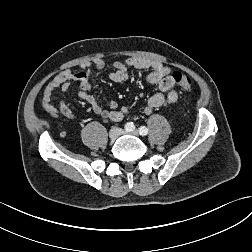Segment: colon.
I'll return each mask as SVG.
<instances>
[{
  "label": "colon",
  "mask_w": 252,
  "mask_h": 252,
  "mask_svg": "<svg viewBox=\"0 0 252 252\" xmlns=\"http://www.w3.org/2000/svg\"><path fill=\"white\" fill-rule=\"evenodd\" d=\"M172 78L175 84L181 89L186 90V91L191 90L192 80L188 75L177 71L172 74Z\"/></svg>",
  "instance_id": "5ec220e1"
}]
</instances>
